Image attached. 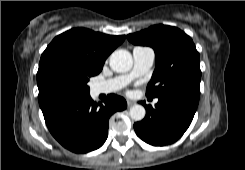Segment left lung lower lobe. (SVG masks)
Returning <instances> with one entry per match:
<instances>
[{
  "label": "left lung lower lobe",
  "instance_id": "left-lung-lower-lobe-1",
  "mask_svg": "<svg viewBox=\"0 0 245 170\" xmlns=\"http://www.w3.org/2000/svg\"><path fill=\"white\" fill-rule=\"evenodd\" d=\"M158 99L155 108L142 102L146 116L134 124V130L146 143L163 146L174 143L184 134L192 122L199 100L178 94L163 95Z\"/></svg>",
  "mask_w": 245,
  "mask_h": 170
}]
</instances>
